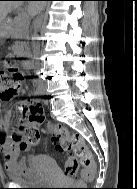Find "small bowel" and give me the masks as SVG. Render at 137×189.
Wrapping results in <instances>:
<instances>
[{
    "label": "small bowel",
    "mask_w": 137,
    "mask_h": 189,
    "mask_svg": "<svg viewBox=\"0 0 137 189\" xmlns=\"http://www.w3.org/2000/svg\"><path fill=\"white\" fill-rule=\"evenodd\" d=\"M25 106H27L26 103H22L19 108L20 125L22 127H25L28 124L25 117ZM12 114V110H6L3 113L0 110V149L3 153L6 170L19 171L27 167V161L20 158V153L26 151L28 146L17 140L15 134H9ZM30 159H32V156H30Z\"/></svg>",
    "instance_id": "small-bowel-1"
}]
</instances>
